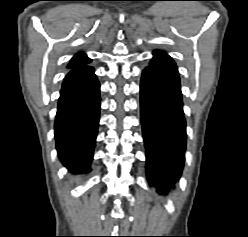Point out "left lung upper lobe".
Masks as SVG:
<instances>
[{"instance_id":"left-lung-upper-lobe-1","label":"left lung upper lobe","mask_w":248,"mask_h":237,"mask_svg":"<svg viewBox=\"0 0 248 237\" xmlns=\"http://www.w3.org/2000/svg\"><path fill=\"white\" fill-rule=\"evenodd\" d=\"M154 61L164 67L165 69L178 73L175 62L163 51H154Z\"/></svg>"}]
</instances>
